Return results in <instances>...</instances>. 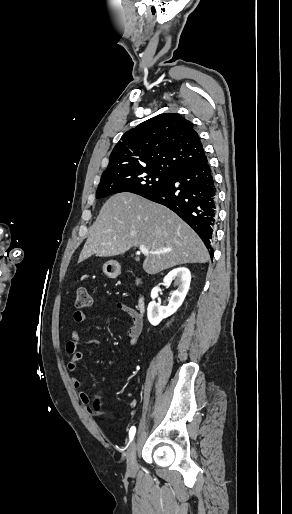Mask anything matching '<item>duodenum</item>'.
<instances>
[{
	"mask_svg": "<svg viewBox=\"0 0 292 514\" xmlns=\"http://www.w3.org/2000/svg\"><path fill=\"white\" fill-rule=\"evenodd\" d=\"M142 308H143V302H142V300H140L138 303V309L141 310Z\"/></svg>",
	"mask_w": 292,
	"mask_h": 514,
	"instance_id": "duodenum-1",
	"label": "duodenum"
}]
</instances>
